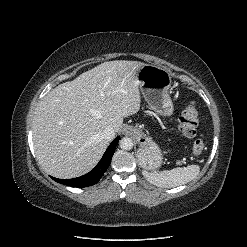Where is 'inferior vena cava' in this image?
Masks as SVG:
<instances>
[{
	"label": "inferior vena cava",
	"mask_w": 247,
	"mask_h": 247,
	"mask_svg": "<svg viewBox=\"0 0 247 247\" xmlns=\"http://www.w3.org/2000/svg\"><path fill=\"white\" fill-rule=\"evenodd\" d=\"M103 139L111 141L115 137V130L112 127H107L102 132Z\"/></svg>",
	"instance_id": "1"
}]
</instances>
